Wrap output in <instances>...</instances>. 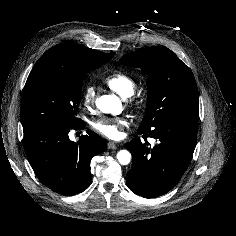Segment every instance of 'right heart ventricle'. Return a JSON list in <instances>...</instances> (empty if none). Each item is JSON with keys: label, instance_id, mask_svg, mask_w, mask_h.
Listing matches in <instances>:
<instances>
[{"label": "right heart ventricle", "instance_id": "1", "mask_svg": "<svg viewBox=\"0 0 236 236\" xmlns=\"http://www.w3.org/2000/svg\"><path fill=\"white\" fill-rule=\"evenodd\" d=\"M105 85L121 97L131 96L136 88L135 80L124 72H115L104 79Z\"/></svg>", "mask_w": 236, "mask_h": 236}]
</instances>
